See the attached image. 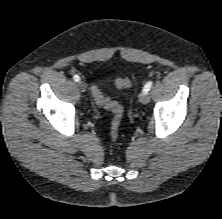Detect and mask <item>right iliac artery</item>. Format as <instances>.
<instances>
[{
    "instance_id": "1",
    "label": "right iliac artery",
    "mask_w": 222,
    "mask_h": 219,
    "mask_svg": "<svg viewBox=\"0 0 222 219\" xmlns=\"http://www.w3.org/2000/svg\"><path fill=\"white\" fill-rule=\"evenodd\" d=\"M73 79L74 81L78 82L80 80V77L78 75H74Z\"/></svg>"
}]
</instances>
